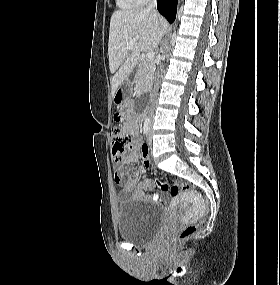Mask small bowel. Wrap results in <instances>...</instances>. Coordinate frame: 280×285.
<instances>
[{"instance_id":"c3829d8e","label":"small bowel","mask_w":280,"mask_h":285,"mask_svg":"<svg viewBox=\"0 0 280 285\" xmlns=\"http://www.w3.org/2000/svg\"><path fill=\"white\" fill-rule=\"evenodd\" d=\"M139 119V117L134 116L124 124L125 130L134 138H138L140 135ZM140 149L143 151L148 149V146L143 144L141 147L139 140H135L132 143L129 154L124 156L117 164V171L115 173L114 180L116 184L122 186L119 199L121 201H126L130 198H134L151 201L156 204H163L166 201V197L162 196L159 192L149 193L153 188L152 181L146 180L138 183L137 174H135V177H129L124 171V167L126 165L137 162ZM143 165L147 169L151 167L148 159L143 160Z\"/></svg>"}]
</instances>
